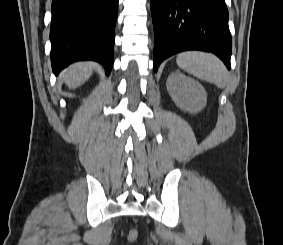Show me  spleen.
Masks as SVG:
<instances>
[{
    "label": "spleen",
    "mask_w": 283,
    "mask_h": 245,
    "mask_svg": "<svg viewBox=\"0 0 283 245\" xmlns=\"http://www.w3.org/2000/svg\"><path fill=\"white\" fill-rule=\"evenodd\" d=\"M176 62L187 73L225 88L227 84V70L224 64L213 54L200 51H186L180 53Z\"/></svg>",
    "instance_id": "3e777b00"
}]
</instances>
